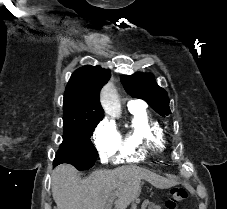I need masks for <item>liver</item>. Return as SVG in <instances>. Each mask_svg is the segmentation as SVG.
I'll use <instances>...</instances> for the list:
<instances>
[{
  "mask_svg": "<svg viewBox=\"0 0 227 209\" xmlns=\"http://www.w3.org/2000/svg\"><path fill=\"white\" fill-rule=\"evenodd\" d=\"M72 165H59L52 173L51 191L57 209H104L113 189H118L117 209H125L135 199L140 179H154V173L140 167H119L114 171H96L89 179H80ZM130 195L129 201H126ZM122 201V203H121Z\"/></svg>",
  "mask_w": 227,
  "mask_h": 209,
  "instance_id": "liver-1",
  "label": "liver"
}]
</instances>
